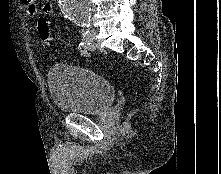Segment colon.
Wrapping results in <instances>:
<instances>
[{
	"label": "colon",
	"instance_id": "colon-1",
	"mask_svg": "<svg viewBox=\"0 0 221 174\" xmlns=\"http://www.w3.org/2000/svg\"><path fill=\"white\" fill-rule=\"evenodd\" d=\"M37 32H38V37L41 42L45 44L51 43L52 36H51L49 24H48V21L43 17H41L38 20Z\"/></svg>",
	"mask_w": 221,
	"mask_h": 174
}]
</instances>
